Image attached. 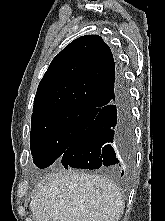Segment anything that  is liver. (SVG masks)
<instances>
[{
  "label": "liver",
  "mask_w": 165,
  "mask_h": 221,
  "mask_svg": "<svg viewBox=\"0 0 165 221\" xmlns=\"http://www.w3.org/2000/svg\"><path fill=\"white\" fill-rule=\"evenodd\" d=\"M30 210L37 221H119L124 201L105 177L59 170L41 183Z\"/></svg>",
  "instance_id": "6515ba94"
}]
</instances>
